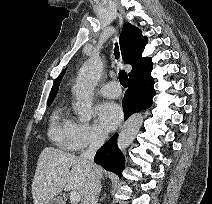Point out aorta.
I'll return each mask as SVG.
<instances>
[{"label":"aorta","instance_id":"obj_1","mask_svg":"<svg viewBox=\"0 0 212 204\" xmlns=\"http://www.w3.org/2000/svg\"><path fill=\"white\" fill-rule=\"evenodd\" d=\"M102 70V60L98 56H91L78 72L73 87V93L76 97L73 109L81 122H89L94 114L92 108L93 91L101 78ZM142 121L141 114H134L125 122L118 137L120 149H126L134 141Z\"/></svg>","mask_w":212,"mask_h":204}]
</instances>
